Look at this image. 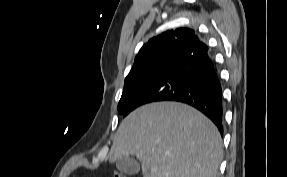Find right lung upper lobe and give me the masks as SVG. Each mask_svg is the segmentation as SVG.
<instances>
[{
    "mask_svg": "<svg viewBox=\"0 0 287 177\" xmlns=\"http://www.w3.org/2000/svg\"><path fill=\"white\" fill-rule=\"evenodd\" d=\"M197 38L194 30L189 28L167 30L153 37L140 49L128 75L168 57H178L182 61L195 55L199 49Z\"/></svg>",
    "mask_w": 287,
    "mask_h": 177,
    "instance_id": "obj_1",
    "label": "right lung upper lobe"
}]
</instances>
